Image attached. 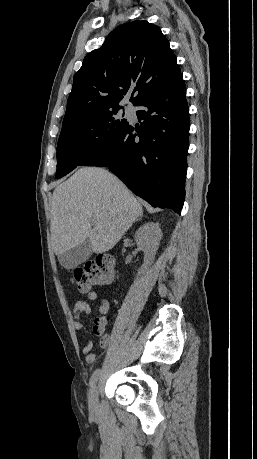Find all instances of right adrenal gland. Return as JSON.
<instances>
[{
	"mask_svg": "<svg viewBox=\"0 0 257 459\" xmlns=\"http://www.w3.org/2000/svg\"><path fill=\"white\" fill-rule=\"evenodd\" d=\"M141 219H142V218H141V217H139V218L137 219V221H140Z\"/></svg>",
	"mask_w": 257,
	"mask_h": 459,
	"instance_id": "right-adrenal-gland-1",
	"label": "right adrenal gland"
}]
</instances>
